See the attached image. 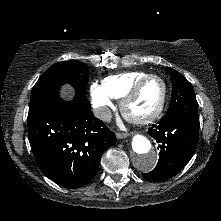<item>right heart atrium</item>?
I'll use <instances>...</instances> for the list:
<instances>
[{
  "label": "right heart atrium",
  "instance_id": "obj_1",
  "mask_svg": "<svg viewBox=\"0 0 221 221\" xmlns=\"http://www.w3.org/2000/svg\"><path fill=\"white\" fill-rule=\"evenodd\" d=\"M90 97L96 115L103 121H107L113 107L112 97L105 91L102 85L93 83L90 86Z\"/></svg>",
  "mask_w": 221,
  "mask_h": 221
}]
</instances>
